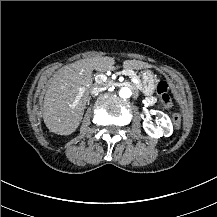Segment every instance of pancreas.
Here are the masks:
<instances>
[{
    "label": "pancreas",
    "mask_w": 217,
    "mask_h": 217,
    "mask_svg": "<svg viewBox=\"0 0 217 217\" xmlns=\"http://www.w3.org/2000/svg\"><path fill=\"white\" fill-rule=\"evenodd\" d=\"M126 74L128 73L130 76H132L133 78H137L138 79V76H136L132 71H128L127 69L124 71ZM139 80V79H138ZM136 88L137 89H141L142 88V85L141 83H138L136 84Z\"/></svg>",
    "instance_id": "pancreas-1"
}]
</instances>
